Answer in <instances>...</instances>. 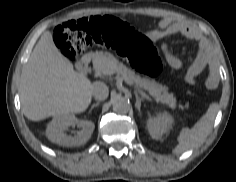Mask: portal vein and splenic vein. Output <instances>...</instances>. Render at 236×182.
<instances>
[{"mask_svg": "<svg viewBox=\"0 0 236 182\" xmlns=\"http://www.w3.org/2000/svg\"><path fill=\"white\" fill-rule=\"evenodd\" d=\"M124 81L128 84V85H131V86H133L134 85V83H133V81L131 80V79H129V78H124ZM135 86V88H137L138 89V87L136 86V85H134ZM139 90V89H138ZM139 92L141 93V95L143 96V97H145V98H148V96L143 92V91H141V90H139Z\"/></svg>", "mask_w": 236, "mask_h": 182, "instance_id": "1", "label": "portal vein and splenic vein"}]
</instances>
